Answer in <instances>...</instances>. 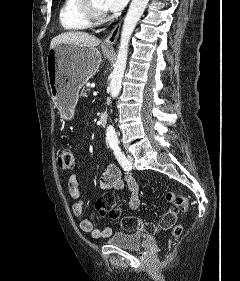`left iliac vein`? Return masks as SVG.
I'll return each instance as SVG.
<instances>
[{
  "label": "left iliac vein",
  "instance_id": "obj_1",
  "mask_svg": "<svg viewBox=\"0 0 240 281\" xmlns=\"http://www.w3.org/2000/svg\"><path fill=\"white\" fill-rule=\"evenodd\" d=\"M127 158H128V161L130 162V164L133 165V162H134L133 157L131 155H128Z\"/></svg>",
  "mask_w": 240,
  "mask_h": 281
}]
</instances>
